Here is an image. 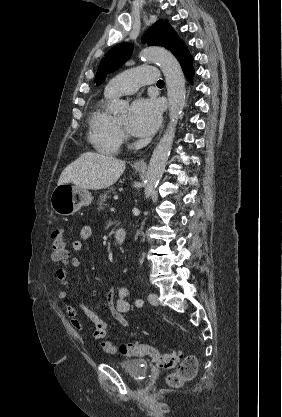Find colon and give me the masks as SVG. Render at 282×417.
I'll list each match as a JSON object with an SVG mask.
<instances>
[{
	"label": "colon",
	"mask_w": 282,
	"mask_h": 417,
	"mask_svg": "<svg viewBox=\"0 0 282 417\" xmlns=\"http://www.w3.org/2000/svg\"><path fill=\"white\" fill-rule=\"evenodd\" d=\"M52 259L56 264L67 266L69 263L68 254L66 251V242L64 231L62 229H55L51 235ZM109 356L121 354V356H130L135 358H148L155 366L160 369L175 368L181 356L179 351L171 350L170 353H163L156 347L148 343H127L120 345L119 348L107 345L105 347ZM199 368V360L195 355H188V358L183 361L179 368H175V372L170 373L166 377V382L170 387H179L181 384L192 379Z\"/></svg>",
	"instance_id": "obj_1"
}]
</instances>
